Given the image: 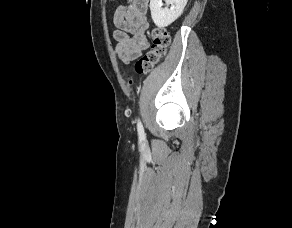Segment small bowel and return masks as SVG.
I'll list each match as a JSON object with an SVG mask.
<instances>
[{
  "instance_id": "small-bowel-1",
  "label": "small bowel",
  "mask_w": 292,
  "mask_h": 228,
  "mask_svg": "<svg viewBox=\"0 0 292 228\" xmlns=\"http://www.w3.org/2000/svg\"><path fill=\"white\" fill-rule=\"evenodd\" d=\"M149 0H127L119 5L113 15L116 41L115 52L125 63L138 59L149 46L146 31L149 28L147 9Z\"/></svg>"
}]
</instances>
